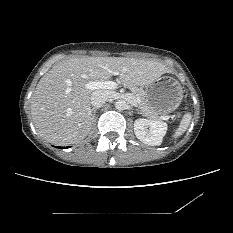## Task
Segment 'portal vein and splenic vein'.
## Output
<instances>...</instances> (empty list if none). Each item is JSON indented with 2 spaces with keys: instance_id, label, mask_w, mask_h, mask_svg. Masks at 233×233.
<instances>
[{
  "instance_id": "portal-vein-and-splenic-vein-1",
  "label": "portal vein and splenic vein",
  "mask_w": 233,
  "mask_h": 233,
  "mask_svg": "<svg viewBox=\"0 0 233 233\" xmlns=\"http://www.w3.org/2000/svg\"><path fill=\"white\" fill-rule=\"evenodd\" d=\"M86 88L89 90H98V89H115L117 88V83L113 81H92L86 84ZM139 103V98H136L135 104ZM162 119L167 120V117H162Z\"/></svg>"
}]
</instances>
